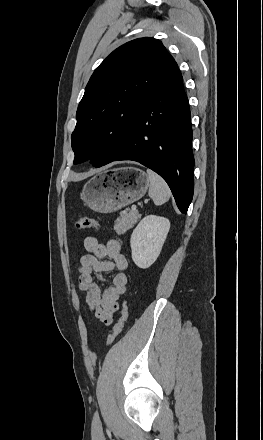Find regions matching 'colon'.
Wrapping results in <instances>:
<instances>
[{
	"label": "colon",
	"mask_w": 263,
	"mask_h": 440,
	"mask_svg": "<svg viewBox=\"0 0 263 440\" xmlns=\"http://www.w3.org/2000/svg\"><path fill=\"white\" fill-rule=\"evenodd\" d=\"M76 227L81 230H86V229H95L98 227V225L93 219L89 217H80L76 222ZM125 319H126V310L123 309L119 320L113 326L112 330L110 331L107 337V345H110L116 339V337L121 333Z\"/></svg>",
	"instance_id": "colon-1"
}]
</instances>
